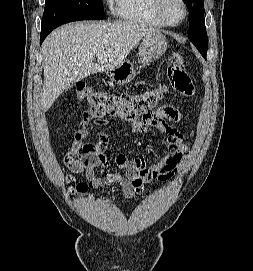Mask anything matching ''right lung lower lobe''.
I'll use <instances>...</instances> for the list:
<instances>
[{"instance_id":"1","label":"right lung lower lobe","mask_w":253,"mask_h":271,"mask_svg":"<svg viewBox=\"0 0 253 271\" xmlns=\"http://www.w3.org/2000/svg\"><path fill=\"white\" fill-rule=\"evenodd\" d=\"M49 33H41V36H40V44L44 41V39L46 38V36L48 35Z\"/></svg>"}]
</instances>
